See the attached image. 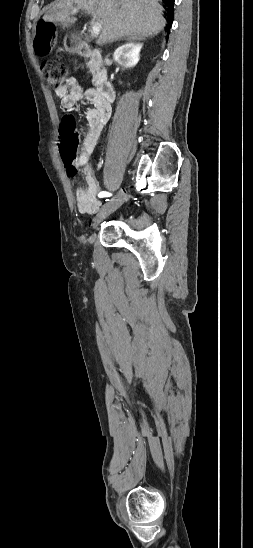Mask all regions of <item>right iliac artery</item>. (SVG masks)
I'll return each mask as SVG.
<instances>
[{
	"instance_id": "1",
	"label": "right iliac artery",
	"mask_w": 253,
	"mask_h": 548,
	"mask_svg": "<svg viewBox=\"0 0 253 548\" xmlns=\"http://www.w3.org/2000/svg\"><path fill=\"white\" fill-rule=\"evenodd\" d=\"M109 196H111V193L105 192V191H102L98 194V197H109Z\"/></svg>"
}]
</instances>
